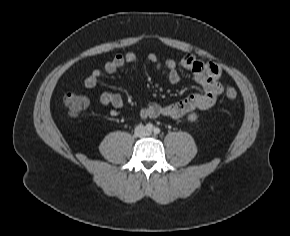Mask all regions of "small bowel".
<instances>
[{
    "mask_svg": "<svg viewBox=\"0 0 290 236\" xmlns=\"http://www.w3.org/2000/svg\"><path fill=\"white\" fill-rule=\"evenodd\" d=\"M150 63L156 65L157 70L164 67L167 70V77L171 84H178L181 81L179 65L193 73L196 81L201 86L200 92H195L187 96L185 99L171 104H151L140 110V117L147 118H171L179 119L195 110H207L211 108L217 101L219 95L223 92V86L219 81L221 69L214 63H203L198 61L191 55L184 56L179 64L168 59L162 65L159 58L155 54H149L147 57ZM137 61V56L133 52L118 54L107 61L103 68L94 69L84 79L86 88L96 86L98 80L103 73L112 74L123 68L125 65L134 64ZM100 103L103 105H111L115 108H122L124 101L121 95L117 93L104 92L99 97Z\"/></svg>",
    "mask_w": 290,
    "mask_h": 236,
    "instance_id": "1",
    "label": "small bowel"
}]
</instances>
